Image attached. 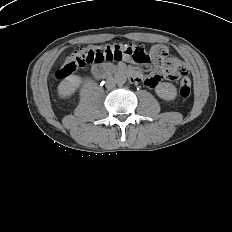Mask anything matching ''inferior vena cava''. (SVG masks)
Instances as JSON below:
<instances>
[{"instance_id": "602c4592", "label": "inferior vena cava", "mask_w": 232, "mask_h": 232, "mask_svg": "<svg viewBox=\"0 0 232 232\" xmlns=\"http://www.w3.org/2000/svg\"><path fill=\"white\" fill-rule=\"evenodd\" d=\"M106 87L107 89L111 90L115 87V81L113 78H108L106 81Z\"/></svg>"}]
</instances>
